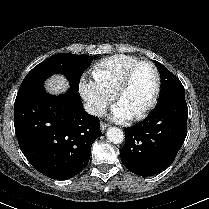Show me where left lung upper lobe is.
Wrapping results in <instances>:
<instances>
[{
  "label": "left lung upper lobe",
  "mask_w": 209,
  "mask_h": 209,
  "mask_svg": "<svg viewBox=\"0 0 209 209\" xmlns=\"http://www.w3.org/2000/svg\"><path fill=\"white\" fill-rule=\"evenodd\" d=\"M161 76V90L159 99L172 94L183 93L184 87L180 80L158 61H154Z\"/></svg>",
  "instance_id": "5c2ea615"
}]
</instances>
